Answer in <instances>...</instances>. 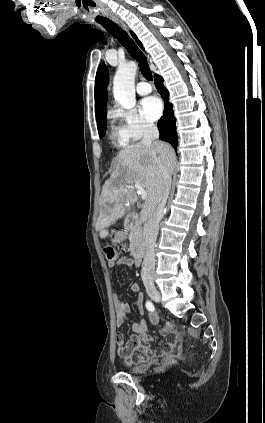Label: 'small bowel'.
I'll list each match as a JSON object with an SVG mask.
<instances>
[{
    "instance_id": "obj_1",
    "label": "small bowel",
    "mask_w": 265,
    "mask_h": 423,
    "mask_svg": "<svg viewBox=\"0 0 265 423\" xmlns=\"http://www.w3.org/2000/svg\"><path fill=\"white\" fill-rule=\"evenodd\" d=\"M138 263L126 257H120L114 261H110L108 266L114 269L118 266L125 265L132 269ZM131 291L137 294V308L139 313H144L143 296L140 292V285L133 283ZM114 308H115V324L121 327L128 319L130 312V304L119 298L118 294H114ZM150 322L156 324L158 322V314L152 310L149 316ZM132 336L125 340L122 334L117 335V343L119 346L118 353L125 359L129 365L141 364L145 361L155 359L157 357L170 359L179 356L182 342L180 336L175 331H168L164 333L165 342L159 348H151L150 344L154 341V337L147 333L148 324L145 320L133 322L131 325Z\"/></svg>"
}]
</instances>
